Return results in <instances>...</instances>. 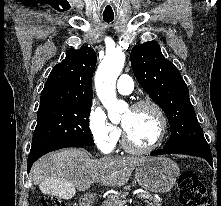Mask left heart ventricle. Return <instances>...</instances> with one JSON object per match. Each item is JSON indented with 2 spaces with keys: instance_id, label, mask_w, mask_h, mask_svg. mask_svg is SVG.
<instances>
[{
  "instance_id": "1",
  "label": "left heart ventricle",
  "mask_w": 221,
  "mask_h": 206,
  "mask_svg": "<svg viewBox=\"0 0 221 206\" xmlns=\"http://www.w3.org/2000/svg\"><path fill=\"white\" fill-rule=\"evenodd\" d=\"M121 124L137 147L149 146L159 133L158 116L150 107L127 110L122 116Z\"/></svg>"
}]
</instances>
